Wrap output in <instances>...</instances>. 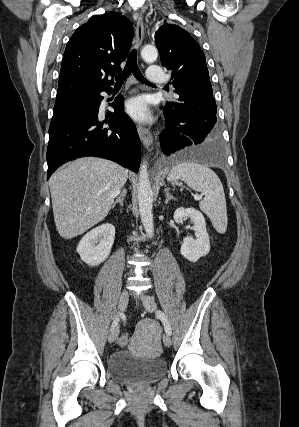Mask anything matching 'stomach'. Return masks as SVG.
Listing matches in <instances>:
<instances>
[{
	"label": "stomach",
	"instance_id": "0dacf381",
	"mask_svg": "<svg viewBox=\"0 0 299 427\" xmlns=\"http://www.w3.org/2000/svg\"><path fill=\"white\" fill-rule=\"evenodd\" d=\"M172 182H173V183H176V184L178 183V181H177V180H172Z\"/></svg>",
	"mask_w": 299,
	"mask_h": 427
}]
</instances>
